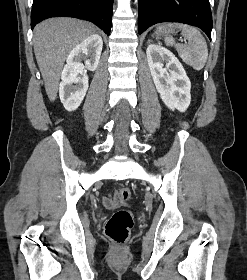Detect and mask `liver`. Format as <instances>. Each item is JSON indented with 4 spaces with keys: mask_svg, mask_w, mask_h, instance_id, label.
<instances>
[{
    "mask_svg": "<svg viewBox=\"0 0 247 280\" xmlns=\"http://www.w3.org/2000/svg\"><path fill=\"white\" fill-rule=\"evenodd\" d=\"M94 32L91 23L67 17L47 19L34 28V52L50 101L57 97L62 68L69 53Z\"/></svg>",
    "mask_w": 247,
    "mask_h": 280,
    "instance_id": "1",
    "label": "liver"
}]
</instances>
